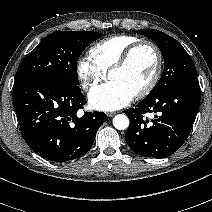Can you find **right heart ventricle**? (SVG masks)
Instances as JSON below:
<instances>
[{
    "instance_id": "obj_1",
    "label": "right heart ventricle",
    "mask_w": 212,
    "mask_h": 212,
    "mask_svg": "<svg viewBox=\"0 0 212 212\" xmlns=\"http://www.w3.org/2000/svg\"><path fill=\"white\" fill-rule=\"evenodd\" d=\"M139 39L132 35H116L94 44L89 49L90 59L105 73L115 64L124 51Z\"/></svg>"
}]
</instances>
